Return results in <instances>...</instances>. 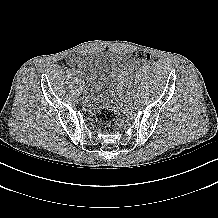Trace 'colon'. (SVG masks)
Wrapping results in <instances>:
<instances>
[{
	"instance_id": "obj_1",
	"label": "colon",
	"mask_w": 218,
	"mask_h": 218,
	"mask_svg": "<svg viewBox=\"0 0 218 218\" xmlns=\"http://www.w3.org/2000/svg\"><path fill=\"white\" fill-rule=\"evenodd\" d=\"M141 62H147L150 59L149 53L139 51L136 55ZM115 118V111L111 106H101L96 111V119L103 126H109Z\"/></svg>"
}]
</instances>
